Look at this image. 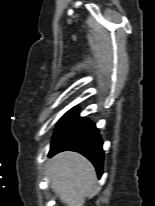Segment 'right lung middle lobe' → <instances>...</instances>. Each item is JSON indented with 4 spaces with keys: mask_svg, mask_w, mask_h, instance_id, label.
<instances>
[{
    "mask_svg": "<svg viewBox=\"0 0 155 206\" xmlns=\"http://www.w3.org/2000/svg\"><path fill=\"white\" fill-rule=\"evenodd\" d=\"M78 119H80V117L77 113V110L75 108L71 109L59 121V124L57 126L55 133L67 127L68 125H70L71 123L75 122Z\"/></svg>",
    "mask_w": 155,
    "mask_h": 206,
    "instance_id": "obj_1",
    "label": "right lung middle lobe"
}]
</instances>
